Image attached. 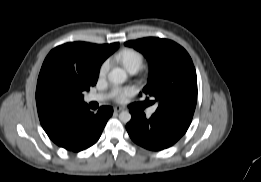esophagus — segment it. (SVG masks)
I'll return each mask as SVG.
<instances>
[{
  "label": "esophagus",
  "mask_w": 261,
  "mask_h": 182,
  "mask_svg": "<svg viewBox=\"0 0 261 182\" xmlns=\"http://www.w3.org/2000/svg\"><path fill=\"white\" fill-rule=\"evenodd\" d=\"M122 110H123V108L120 107V106H115V107H114V111H115V112H120V111H122Z\"/></svg>",
  "instance_id": "34e87169"
}]
</instances>
